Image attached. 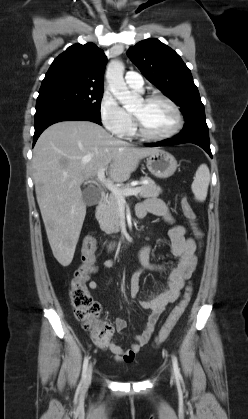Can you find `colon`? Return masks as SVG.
Instances as JSON below:
<instances>
[{"label": "colon", "instance_id": "colon-1", "mask_svg": "<svg viewBox=\"0 0 248 419\" xmlns=\"http://www.w3.org/2000/svg\"><path fill=\"white\" fill-rule=\"evenodd\" d=\"M181 209L184 216L191 223L194 234L197 238L201 237L196 224V215L186 199L181 202ZM97 242L93 235H87L83 240L81 264L77 268L69 284V295L74 307V314L82 327L90 332L92 340L96 345L107 344L113 335V327L111 324L97 319L100 312V306L90 296L87 290V280L89 273L94 265ZM191 287H187L183 298L175 306L172 313L168 317L164 326L158 332L155 338V345H160L168 337L180 317L185 312L187 304L190 300Z\"/></svg>", "mask_w": 248, "mask_h": 419}]
</instances>
